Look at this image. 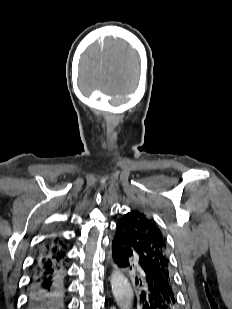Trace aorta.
Here are the masks:
<instances>
[{"mask_svg":"<svg viewBox=\"0 0 232 309\" xmlns=\"http://www.w3.org/2000/svg\"><path fill=\"white\" fill-rule=\"evenodd\" d=\"M110 282L119 307L121 309H130L133 303V290L128 280L120 272H113Z\"/></svg>","mask_w":232,"mask_h":309,"instance_id":"aorta-1","label":"aorta"}]
</instances>
